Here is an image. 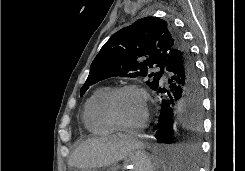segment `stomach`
<instances>
[{"instance_id":"1","label":"stomach","mask_w":245,"mask_h":171,"mask_svg":"<svg viewBox=\"0 0 245 171\" xmlns=\"http://www.w3.org/2000/svg\"><path fill=\"white\" fill-rule=\"evenodd\" d=\"M157 162L150 156L144 149L137 148L132 150L125 158L124 169H130V171H157ZM69 171H92L90 169H76L72 168ZM95 171V170H93Z\"/></svg>"}]
</instances>
